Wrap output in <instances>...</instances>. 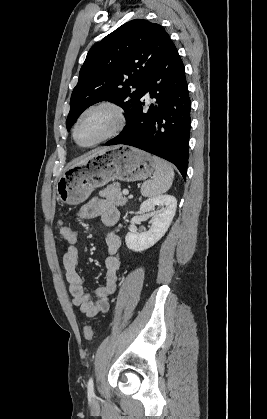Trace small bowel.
I'll return each instance as SVG.
<instances>
[{"label":"small bowel","instance_id":"c3829d8e","mask_svg":"<svg viewBox=\"0 0 267 419\" xmlns=\"http://www.w3.org/2000/svg\"><path fill=\"white\" fill-rule=\"evenodd\" d=\"M76 215L80 219L100 217L106 227H114L119 219L118 209L104 198L91 199L79 208ZM69 244L63 256V264L73 305L89 318L107 312L110 306L109 297L116 291L118 283L120 258L117 252L121 245L118 231L111 230L106 236L108 257L105 260L104 284L94 289V298L85 291L83 278L78 272L79 250L75 242Z\"/></svg>","mask_w":267,"mask_h":419}]
</instances>
